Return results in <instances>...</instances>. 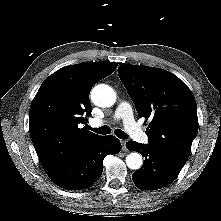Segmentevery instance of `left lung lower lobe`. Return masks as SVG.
I'll return each mask as SVG.
<instances>
[{"label": "left lung lower lobe", "instance_id": "0a47b994", "mask_svg": "<svg viewBox=\"0 0 221 221\" xmlns=\"http://www.w3.org/2000/svg\"><path fill=\"white\" fill-rule=\"evenodd\" d=\"M126 147L145 157L143 166L132 175L134 184L142 190H157L169 185L184 166L149 144L128 141Z\"/></svg>", "mask_w": 221, "mask_h": 221}]
</instances>
